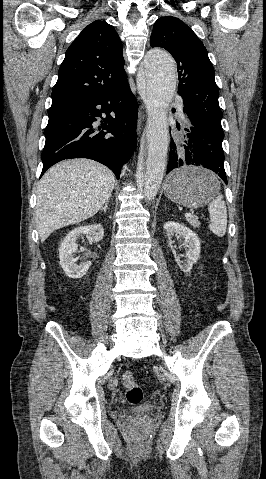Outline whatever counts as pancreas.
<instances>
[{
  "instance_id": "cf45deb5",
  "label": "pancreas",
  "mask_w": 266,
  "mask_h": 479,
  "mask_svg": "<svg viewBox=\"0 0 266 479\" xmlns=\"http://www.w3.org/2000/svg\"><path fill=\"white\" fill-rule=\"evenodd\" d=\"M187 221L193 228H199L200 222L198 221L197 217L188 218Z\"/></svg>"
}]
</instances>
